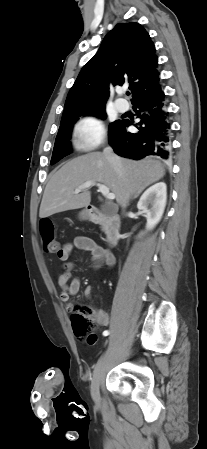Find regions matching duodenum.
Listing matches in <instances>:
<instances>
[{
  "label": "duodenum",
  "mask_w": 207,
  "mask_h": 449,
  "mask_svg": "<svg viewBox=\"0 0 207 449\" xmlns=\"http://www.w3.org/2000/svg\"><path fill=\"white\" fill-rule=\"evenodd\" d=\"M89 222L104 225L107 232L109 246H114L121 237L122 222L117 214H104L98 207L89 206L86 211Z\"/></svg>",
  "instance_id": "obj_1"
}]
</instances>
